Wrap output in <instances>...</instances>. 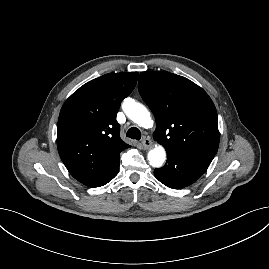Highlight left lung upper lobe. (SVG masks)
<instances>
[{"label":"left lung upper lobe","mask_w":269,"mask_h":269,"mask_svg":"<svg viewBox=\"0 0 269 269\" xmlns=\"http://www.w3.org/2000/svg\"><path fill=\"white\" fill-rule=\"evenodd\" d=\"M138 90L156 119L153 137L166 150L217 153V112L201 87L169 72L146 71L140 73Z\"/></svg>","instance_id":"1"}]
</instances>
